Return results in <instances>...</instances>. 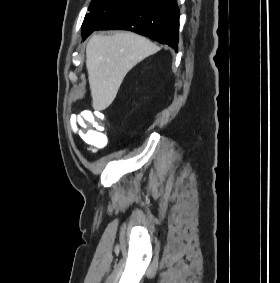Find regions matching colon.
<instances>
[{
    "mask_svg": "<svg viewBox=\"0 0 280 283\" xmlns=\"http://www.w3.org/2000/svg\"><path fill=\"white\" fill-rule=\"evenodd\" d=\"M105 114H99V110H86L73 118L75 125H79L77 136L89 148L102 149L107 144V136L104 127L107 126Z\"/></svg>",
    "mask_w": 280,
    "mask_h": 283,
    "instance_id": "5ec220e1",
    "label": "colon"
}]
</instances>
